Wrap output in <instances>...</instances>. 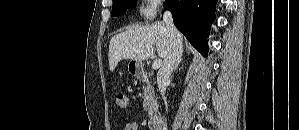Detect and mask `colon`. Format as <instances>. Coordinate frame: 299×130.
<instances>
[{
    "instance_id": "5ec220e1",
    "label": "colon",
    "mask_w": 299,
    "mask_h": 130,
    "mask_svg": "<svg viewBox=\"0 0 299 130\" xmlns=\"http://www.w3.org/2000/svg\"><path fill=\"white\" fill-rule=\"evenodd\" d=\"M116 103L120 108H126L128 105V98L124 93H119L116 97Z\"/></svg>"
}]
</instances>
